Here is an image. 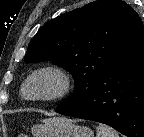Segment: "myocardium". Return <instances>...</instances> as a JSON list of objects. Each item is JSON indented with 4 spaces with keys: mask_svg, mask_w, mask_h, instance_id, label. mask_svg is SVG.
<instances>
[{
    "mask_svg": "<svg viewBox=\"0 0 144 137\" xmlns=\"http://www.w3.org/2000/svg\"><path fill=\"white\" fill-rule=\"evenodd\" d=\"M51 75L57 80V88L51 94L42 96H27L26 87L38 76ZM72 82L69 74L61 67L55 65H46L33 70L24 80L21 87L22 97L29 101L52 102L65 97L71 90Z\"/></svg>",
    "mask_w": 144,
    "mask_h": 137,
    "instance_id": "1",
    "label": "myocardium"
}]
</instances>
